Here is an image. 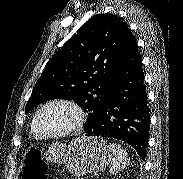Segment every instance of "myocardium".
<instances>
[{
    "label": "myocardium",
    "instance_id": "obj_1",
    "mask_svg": "<svg viewBox=\"0 0 183 179\" xmlns=\"http://www.w3.org/2000/svg\"><path fill=\"white\" fill-rule=\"evenodd\" d=\"M53 105H63V106L70 108L74 113L75 119H74L73 124L66 130L58 132V133L48 134V133H44L42 131L41 126H40V120H41V116H42L43 112L47 108H49ZM84 120H85V113L79 103H77L76 101H74L72 99L58 98V99H53V100L45 103L39 109V111L36 114L35 127H36V131L40 135V137L54 139V138L66 137V136H69V135H72V134L78 132L81 129V127L84 123Z\"/></svg>",
    "mask_w": 183,
    "mask_h": 179
}]
</instances>
